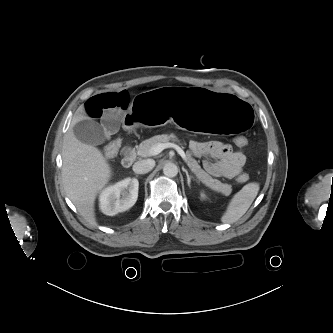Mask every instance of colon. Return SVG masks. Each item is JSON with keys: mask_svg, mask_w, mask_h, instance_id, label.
Returning <instances> with one entry per match:
<instances>
[{"mask_svg": "<svg viewBox=\"0 0 333 333\" xmlns=\"http://www.w3.org/2000/svg\"><path fill=\"white\" fill-rule=\"evenodd\" d=\"M234 141L235 144L239 147H244L245 145H247V139L244 136H237ZM119 146L120 142L118 140H113L109 142L103 149L104 155L109 158L113 157L118 152ZM248 179L249 175L246 173L240 174L238 176V181L241 183L248 181Z\"/></svg>", "mask_w": 333, "mask_h": 333, "instance_id": "5ec220e1", "label": "colon"}]
</instances>
